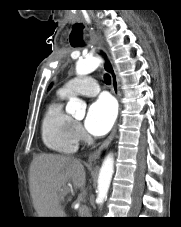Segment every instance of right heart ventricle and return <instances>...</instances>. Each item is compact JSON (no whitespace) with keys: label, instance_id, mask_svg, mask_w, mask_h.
<instances>
[{"label":"right heart ventricle","instance_id":"obj_1","mask_svg":"<svg viewBox=\"0 0 181 227\" xmlns=\"http://www.w3.org/2000/svg\"><path fill=\"white\" fill-rule=\"evenodd\" d=\"M66 96L58 92L48 105L42 120V140L45 146L55 152L69 154L77 149L74 134V120L63 110Z\"/></svg>","mask_w":181,"mask_h":227}]
</instances>
